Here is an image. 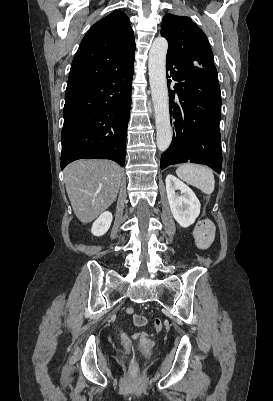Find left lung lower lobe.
I'll list each match as a JSON object with an SVG mask.
<instances>
[{
  "mask_svg": "<svg viewBox=\"0 0 273 401\" xmlns=\"http://www.w3.org/2000/svg\"><path fill=\"white\" fill-rule=\"evenodd\" d=\"M166 70L177 83L169 90L174 131L171 146L161 156V169L190 161L220 173L221 94L215 65L198 67L167 55Z\"/></svg>",
  "mask_w": 273,
  "mask_h": 401,
  "instance_id": "left-lung-lower-lobe-1",
  "label": "left lung lower lobe"
}]
</instances>
